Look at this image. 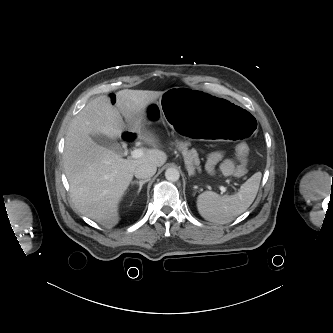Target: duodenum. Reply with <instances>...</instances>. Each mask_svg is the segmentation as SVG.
Returning a JSON list of instances; mask_svg holds the SVG:
<instances>
[{"label":"duodenum","mask_w":333,"mask_h":333,"mask_svg":"<svg viewBox=\"0 0 333 333\" xmlns=\"http://www.w3.org/2000/svg\"><path fill=\"white\" fill-rule=\"evenodd\" d=\"M124 137H125V138H130V134H127V133H126V134H124Z\"/></svg>","instance_id":"obj_1"}]
</instances>
